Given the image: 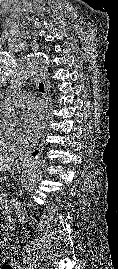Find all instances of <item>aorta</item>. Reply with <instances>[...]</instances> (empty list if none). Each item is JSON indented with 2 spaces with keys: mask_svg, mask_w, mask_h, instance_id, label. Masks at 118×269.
<instances>
[{
  "mask_svg": "<svg viewBox=\"0 0 118 269\" xmlns=\"http://www.w3.org/2000/svg\"><path fill=\"white\" fill-rule=\"evenodd\" d=\"M48 61V57L42 53H34L25 56L11 82L10 96L0 103V118L4 126L15 127L20 122V112L14 107L11 94L17 87L39 71ZM47 169L46 161H39L27 168L22 175V186L27 188L34 181L40 179Z\"/></svg>",
  "mask_w": 118,
  "mask_h": 269,
  "instance_id": "1",
  "label": "aorta"
}]
</instances>
